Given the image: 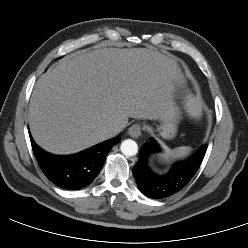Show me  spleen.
I'll use <instances>...</instances> for the list:
<instances>
[{
	"mask_svg": "<svg viewBox=\"0 0 248 248\" xmlns=\"http://www.w3.org/2000/svg\"><path fill=\"white\" fill-rule=\"evenodd\" d=\"M191 148L186 146H181L172 151V155L175 157H184L190 152ZM166 159V157H164Z\"/></svg>",
	"mask_w": 248,
	"mask_h": 248,
	"instance_id": "obj_1",
	"label": "spleen"
}]
</instances>
